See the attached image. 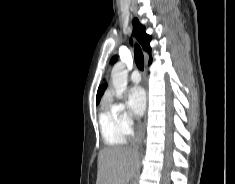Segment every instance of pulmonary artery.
<instances>
[{
	"instance_id": "pulmonary-artery-1",
	"label": "pulmonary artery",
	"mask_w": 235,
	"mask_h": 184,
	"mask_svg": "<svg viewBox=\"0 0 235 184\" xmlns=\"http://www.w3.org/2000/svg\"><path fill=\"white\" fill-rule=\"evenodd\" d=\"M130 80L134 84H139L142 80V76L138 71H134V72H132V74L130 76Z\"/></svg>"
}]
</instances>
